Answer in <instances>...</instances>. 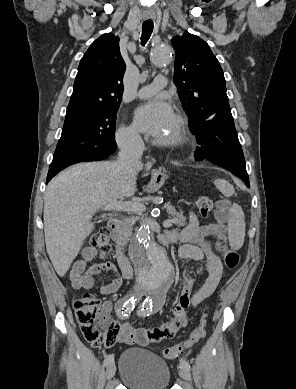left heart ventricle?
<instances>
[{
  "mask_svg": "<svg viewBox=\"0 0 296 389\" xmlns=\"http://www.w3.org/2000/svg\"><path fill=\"white\" fill-rule=\"evenodd\" d=\"M173 128H174V122L172 123V125L166 130V132H164L161 136H159V137H161V138H163V137H168V136H170L171 134H172V132H173Z\"/></svg>",
  "mask_w": 296,
  "mask_h": 389,
  "instance_id": "1",
  "label": "left heart ventricle"
}]
</instances>
